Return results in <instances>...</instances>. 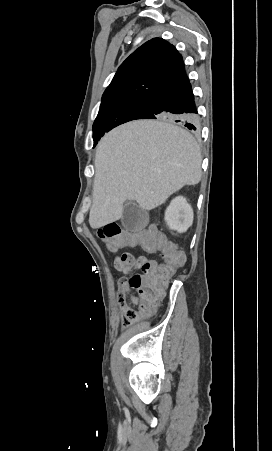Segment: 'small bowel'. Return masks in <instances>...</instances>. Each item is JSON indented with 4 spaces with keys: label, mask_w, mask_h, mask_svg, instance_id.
I'll return each instance as SVG.
<instances>
[{
    "label": "small bowel",
    "mask_w": 272,
    "mask_h": 451,
    "mask_svg": "<svg viewBox=\"0 0 272 451\" xmlns=\"http://www.w3.org/2000/svg\"><path fill=\"white\" fill-rule=\"evenodd\" d=\"M145 250L147 251V249H145ZM132 271L133 270H126L124 275L131 274ZM128 280H129V277H126V276H122L118 280V294H119L118 304L120 306L121 313H122V311H137L138 320H140L145 316V313L147 311L143 310V309L135 310L128 305V302H131L134 304L137 303V300L134 299V296L130 295V293H129V289L127 287Z\"/></svg>",
    "instance_id": "1"
}]
</instances>
